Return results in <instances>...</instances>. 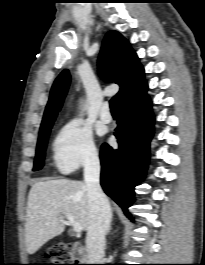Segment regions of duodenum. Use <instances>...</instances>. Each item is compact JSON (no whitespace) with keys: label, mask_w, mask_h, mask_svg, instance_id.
Returning a JSON list of instances; mask_svg holds the SVG:
<instances>
[{"label":"duodenum","mask_w":205,"mask_h":265,"mask_svg":"<svg viewBox=\"0 0 205 265\" xmlns=\"http://www.w3.org/2000/svg\"><path fill=\"white\" fill-rule=\"evenodd\" d=\"M74 247H75V249L77 250V252L80 254V255H83L84 254V247L83 246H81L80 244H78V243H75L74 244Z\"/></svg>","instance_id":"duodenum-1"}]
</instances>
